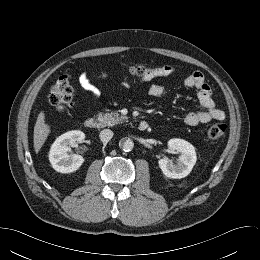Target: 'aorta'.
<instances>
[{
    "label": "aorta",
    "instance_id": "762f6f07",
    "mask_svg": "<svg viewBox=\"0 0 260 260\" xmlns=\"http://www.w3.org/2000/svg\"><path fill=\"white\" fill-rule=\"evenodd\" d=\"M119 146L123 151L129 152L134 148V142L130 138L122 139Z\"/></svg>",
    "mask_w": 260,
    "mask_h": 260
}]
</instances>
